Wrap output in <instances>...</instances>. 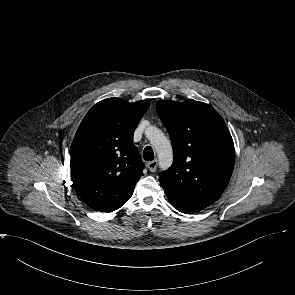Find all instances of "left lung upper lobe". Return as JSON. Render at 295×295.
Instances as JSON below:
<instances>
[{
  "label": "left lung upper lobe",
  "mask_w": 295,
  "mask_h": 295,
  "mask_svg": "<svg viewBox=\"0 0 295 295\" xmlns=\"http://www.w3.org/2000/svg\"><path fill=\"white\" fill-rule=\"evenodd\" d=\"M157 113L173 146V164L159 182L180 212L195 213L214 203L231 178L235 150L222 117L210 105L159 101Z\"/></svg>",
  "instance_id": "left-lung-upper-lobe-1"
}]
</instances>
